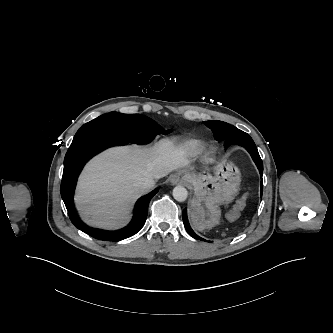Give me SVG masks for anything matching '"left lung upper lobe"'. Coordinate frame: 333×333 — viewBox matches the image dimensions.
Instances as JSON below:
<instances>
[{"mask_svg":"<svg viewBox=\"0 0 333 333\" xmlns=\"http://www.w3.org/2000/svg\"><path fill=\"white\" fill-rule=\"evenodd\" d=\"M204 124L209 127L215 134V138L218 141L224 140H234V141H242V139L231 138L237 136L241 130L236 127L222 122V121H206Z\"/></svg>","mask_w":333,"mask_h":333,"instance_id":"left-lung-upper-lobe-1","label":"left lung upper lobe"}]
</instances>
